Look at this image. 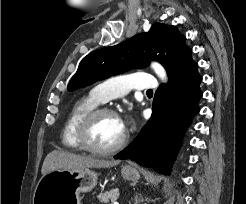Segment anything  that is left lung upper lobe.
Wrapping results in <instances>:
<instances>
[{
  "mask_svg": "<svg viewBox=\"0 0 246 204\" xmlns=\"http://www.w3.org/2000/svg\"><path fill=\"white\" fill-rule=\"evenodd\" d=\"M187 49L185 38L176 27L155 23L147 33L89 53L80 62L67 89L74 91L112 75L143 68L151 60L160 62L169 73Z\"/></svg>",
  "mask_w": 246,
  "mask_h": 204,
  "instance_id": "1",
  "label": "left lung upper lobe"
}]
</instances>
